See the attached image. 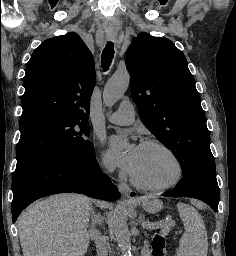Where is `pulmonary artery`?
<instances>
[{
	"label": "pulmonary artery",
	"mask_w": 236,
	"mask_h": 256,
	"mask_svg": "<svg viewBox=\"0 0 236 256\" xmlns=\"http://www.w3.org/2000/svg\"><path fill=\"white\" fill-rule=\"evenodd\" d=\"M131 101H120V108L107 117V120L117 125H128L134 121L135 112ZM130 109V110H128Z\"/></svg>",
	"instance_id": "pulmonary-artery-1"
}]
</instances>
